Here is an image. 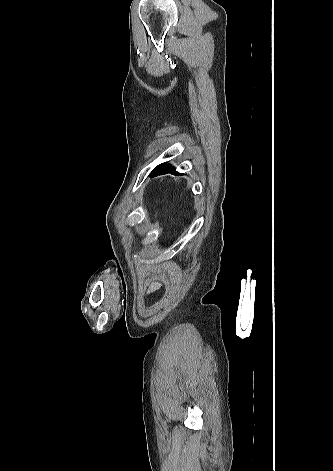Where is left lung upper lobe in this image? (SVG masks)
<instances>
[{
    "label": "left lung upper lobe",
    "instance_id": "left-lung-upper-lobe-1",
    "mask_svg": "<svg viewBox=\"0 0 333 471\" xmlns=\"http://www.w3.org/2000/svg\"><path fill=\"white\" fill-rule=\"evenodd\" d=\"M168 164L162 163L156 166L150 173V177H155L157 175H162L167 173Z\"/></svg>",
    "mask_w": 333,
    "mask_h": 471
}]
</instances>
